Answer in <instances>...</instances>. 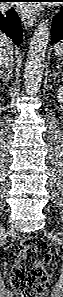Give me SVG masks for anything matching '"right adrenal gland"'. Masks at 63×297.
<instances>
[{"label":"right adrenal gland","mask_w":63,"mask_h":297,"mask_svg":"<svg viewBox=\"0 0 63 297\" xmlns=\"http://www.w3.org/2000/svg\"><path fill=\"white\" fill-rule=\"evenodd\" d=\"M10 74H11V71H8V72H6L4 74L1 72V74H0V79H1L0 85H7L9 79L12 77Z\"/></svg>","instance_id":"right-adrenal-gland-1"}]
</instances>
